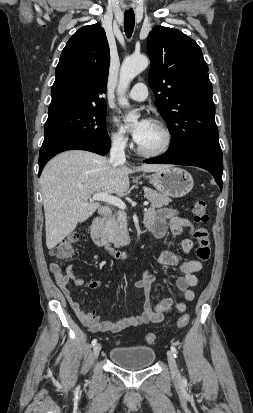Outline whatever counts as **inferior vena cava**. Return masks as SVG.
<instances>
[{
	"instance_id": "1",
	"label": "inferior vena cava",
	"mask_w": 253,
	"mask_h": 413,
	"mask_svg": "<svg viewBox=\"0 0 253 413\" xmlns=\"http://www.w3.org/2000/svg\"><path fill=\"white\" fill-rule=\"evenodd\" d=\"M125 141L123 138H115L112 141L110 149V159L109 163L113 166H118L125 163Z\"/></svg>"
}]
</instances>
